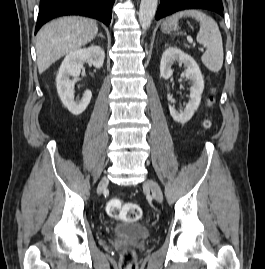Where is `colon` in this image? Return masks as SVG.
Returning a JSON list of instances; mask_svg holds the SVG:
<instances>
[{
    "mask_svg": "<svg viewBox=\"0 0 265 269\" xmlns=\"http://www.w3.org/2000/svg\"><path fill=\"white\" fill-rule=\"evenodd\" d=\"M108 215L114 218H120L127 222H135L141 216V209L135 203L123 202L120 199H110L106 204ZM122 269H135V259L132 250L124 251L121 260Z\"/></svg>",
    "mask_w": 265,
    "mask_h": 269,
    "instance_id": "1",
    "label": "colon"
}]
</instances>
